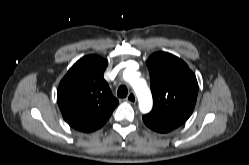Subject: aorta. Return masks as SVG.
Segmentation results:
<instances>
[{
    "label": "aorta",
    "mask_w": 249,
    "mask_h": 165,
    "mask_svg": "<svg viewBox=\"0 0 249 165\" xmlns=\"http://www.w3.org/2000/svg\"><path fill=\"white\" fill-rule=\"evenodd\" d=\"M125 78L131 83L138 97L140 111L148 113L152 108V96L145 80L138 78L134 71H131L130 75Z\"/></svg>",
    "instance_id": "obj_1"
}]
</instances>
